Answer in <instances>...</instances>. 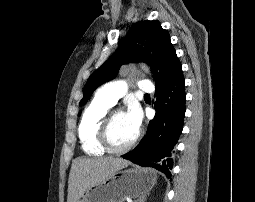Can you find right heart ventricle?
I'll return each mask as SVG.
<instances>
[{
    "mask_svg": "<svg viewBox=\"0 0 255 202\" xmlns=\"http://www.w3.org/2000/svg\"><path fill=\"white\" fill-rule=\"evenodd\" d=\"M110 107L96 95L82 114L78 132L82 148L88 155L99 156L106 152L98 142V129Z\"/></svg>",
    "mask_w": 255,
    "mask_h": 202,
    "instance_id": "obj_1",
    "label": "right heart ventricle"
}]
</instances>
